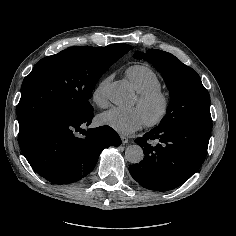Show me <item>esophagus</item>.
I'll return each instance as SVG.
<instances>
[{"label":"esophagus","instance_id":"1","mask_svg":"<svg viewBox=\"0 0 236 236\" xmlns=\"http://www.w3.org/2000/svg\"><path fill=\"white\" fill-rule=\"evenodd\" d=\"M120 138L123 144L128 143V138H126L125 136L121 135Z\"/></svg>","mask_w":236,"mask_h":236}]
</instances>
